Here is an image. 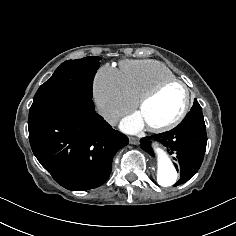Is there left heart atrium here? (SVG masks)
Masks as SVG:
<instances>
[{"mask_svg": "<svg viewBox=\"0 0 236 236\" xmlns=\"http://www.w3.org/2000/svg\"><path fill=\"white\" fill-rule=\"evenodd\" d=\"M146 126L145 121L140 111L126 117L122 123L121 128L128 133H138Z\"/></svg>", "mask_w": 236, "mask_h": 236, "instance_id": "obj_1", "label": "left heart atrium"}]
</instances>
